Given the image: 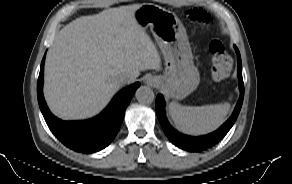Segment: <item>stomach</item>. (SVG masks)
<instances>
[{
  "instance_id": "obj_1",
  "label": "stomach",
  "mask_w": 292,
  "mask_h": 184,
  "mask_svg": "<svg viewBox=\"0 0 292 184\" xmlns=\"http://www.w3.org/2000/svg\"><path fill=\"white\" fill-rule=\"evenodd\" d=\"M157 9L151 6H143L135 13V20L141 27L149 26L159 44L165 46L173 39V31L177 21H172L168 26L158 23ZM176 22V24H175ZM167 66L168 73L163 77V86L172 98L181 99L191 91L199 81V73L188 57L181 60L178 57H170Z\"/></svg>"
}]
</instances>
